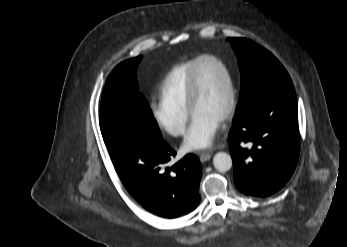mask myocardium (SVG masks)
Wrapping results in <instances>:
<instances>
[{"label": "myocardium", "instance_id": "myocardium-1", "mask_svg": "<svg viewBox=\"0 0 347 247\" xmlns=\"http://www.w3.org/2000/svg\"><path fill=\"white\" fill-rule=\"evenodd\" d=\"M213 61L221 67L225 73L227 83H228V105L226 111L221 118V122H228L234 116L237 104L236 87L234 83L233 76L227 67V65L218 57L214 55H203L199 57L196 64L192 67L190 72L189 84H188V94H187V106L189 112L194 114V107L199 95V80H198V69L203 61Z\"/></svg>", "mask_w": 347, "mask_h": 247}]
</instances>
